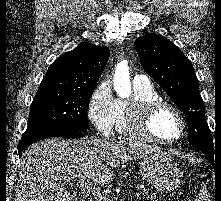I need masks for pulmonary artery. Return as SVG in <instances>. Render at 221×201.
<instances>
[{"label":"pulmonary artery","mask_w":221,"mask_h":201,"mask_svg":"<svg viewBox=\"0 0 221 201\" xmlns=\"http://www.w3.org/2000/svg\"><path fill=\"white\" fill-rule=\"evenodd\" d=\"M133 82L134 84H140V85H145L150 83L148 77L144 74L135 75Z\"/></svg>","instance_id":"e3ab8cb5"}]
</instances>
